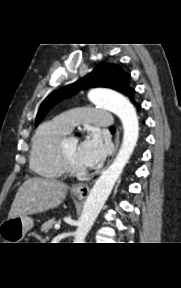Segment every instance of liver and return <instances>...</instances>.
<instances>
[{"instance_id":"obj_1","label":"liver","mask_w":181,"mask_h":288,"mask_svg":"<svg viewBox=\"0 0 181 288\" xmlns=\"http://www.w3.org/2000/svg\"><path fill=\"white\" fill-rule=\"evenodd\" d=\"M68 186L42 177L28 178L19 187L9 211L10 218L27 216L58 207L65 199Z\"/></svg>"}]
</instances>
